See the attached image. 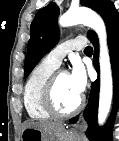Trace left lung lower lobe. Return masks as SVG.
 <instances>
[{
  "mask_svg": "<svg viewBox=\"0 0 119 141\" xmlns=\"http://www.w3.org/2000/svg\"><path fill=\"white\" fill-rule=\"evenodd\" d=\"M108 36V47L111 58V66L113 72V83H114V104L112 115L108 123L100 128L97 125V110H98V99H99V78L92 83L91 92L88 100V104L84 110V118L88 122V129L86 136L90 141H110L111 140V128L114 121L115 113L119 107V14L117 11L113 12L112 15L105 21ZM93 43L94 51V67L99 71V44L97 35L94 33L88 37ZM76 118L70 120L71 123H75Z\"/></svg>",
  "mask_w": 119,
  "mask_h": 141,
  "instance_id": "1",
  "label": "left lung lower lobe"
}]
</instances>
